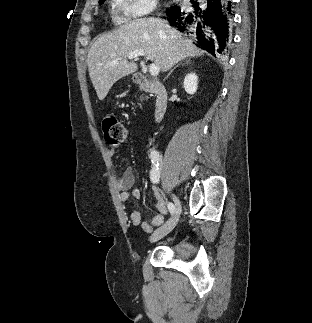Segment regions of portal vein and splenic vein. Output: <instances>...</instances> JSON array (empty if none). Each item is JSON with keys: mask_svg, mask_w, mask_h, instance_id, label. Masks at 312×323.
Returning a JSON list of instances; mask_svg holds the SVG:
<instances>
[{"mask_svg": "<svg viewBox=\"0 0 312 323\" xmlns=\"http://www.w3.org/2000/svg\"><path fill=\"white\" fill-rule=\"evenodd\" d=\"M138 56H145V52H143V50H134V52L128 54L127 58L128 60H133V58H138ZM117 62H119V60H114L111 64H117ZM149 72L151 76H158L160 68L159 66H156V64H150Z\"/></svg>", "mask_w": 312, "mask_h": 323, "instance_id": "1", "label": "portal vein and splenic vein"}]
</instances>
